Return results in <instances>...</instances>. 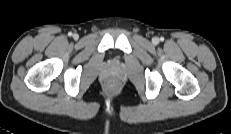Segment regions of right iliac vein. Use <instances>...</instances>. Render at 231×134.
<instances>
[{"label":"right iliac vein","instance_id":"obj_1","mask_svg":"<svg viewBox=\"0 0 231 134\" xmlns=\"http://www.w3.org/2000/svg\"><path fill=\"white\" fill-rule=\"evenodd\" d=\"M73 37H74V39H78L79 36H78V34H74Z\"/></svg>","mask_w":231,"mask_h":134}]
</instances>
